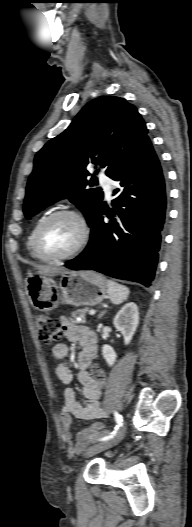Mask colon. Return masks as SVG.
<instances>
[{
	"label": "colon",
	"mask_w": 192,
	"mask_h": 527,
	"mask_svg": "<svg viewBox=\"0 0 192 527\" xmlns=\"http://www.w3.org/2000/svg\"><path fill=\"white\" fill-rule=\"evenodd\" d=\"M34 321L37 336L44 344L51 345L63 336V326L57 319L39 314L35 316ZM91 377L99 386L104 384L105 375L99 367L92 368Z\"/></svg>",
	"instance_id": "1"
}]
</instances>
